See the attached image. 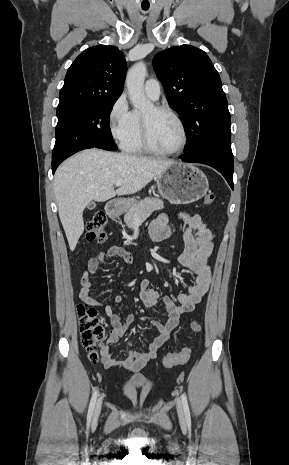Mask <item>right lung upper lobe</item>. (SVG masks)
<instances>
[{
    "label": "right lung upper lobe",
    "mask_w": 289,
    "mask_h": 465,
    "mask_svg": "<svg viewBox=\"0 0 289 465\" xmlns=\"http://www.w3.org/2000/svg\"><path fill=\"white\" fill-rule=\"evenodd\" d=\"M125 58L114 46L83 51L69 67L57 108L118 99L123 90Z\"/></svg>",
    "instance_id": "1"
}]
</instances>
